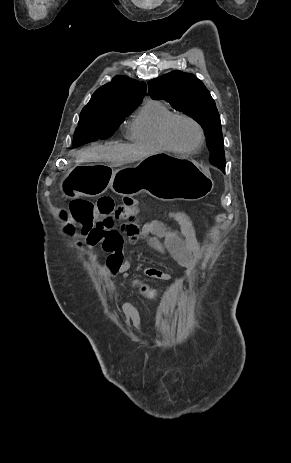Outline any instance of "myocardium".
<instances>
[{"instance_id":"1","label":"myocardium","mask_w":291,"mask_h":463,"mask_svg":"<svg viewBox=\"0 0 291 463\" xmlns=\"http://www.w3.org/2000/svg\"><path fill=\"white\" fill-rule=\"evenodd\" d=\"M179 119L189 121L198 130L199 140H198L197 145L194 146L193 148H189V149L182 148L178 146L171 138V134H170L171 127L174 124V122ZM162 137L165 143L167 144V146L171 150L181 153V154H194L198 152L205 143V132H204L202 125L195 118H193L192 116L186 115V114H174L171 117H169L162 127Z\"/></svg>"}]
</instances>
